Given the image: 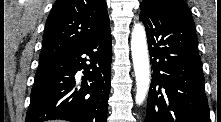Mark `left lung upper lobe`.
Returning a JSON list of instances; mask_svg holds the SVG:
<instances>
[{"label": "left lung upper lobe", "instance_id": "1", "mask_svg": "<svg viewBox=\"0 0 221 122\" xmlns=\"http://www.w3.org/2000/svg\"><path fill=\"white\" fill-rule=\"evenodd\" d=\"M160 1L168 3V6H173V5L179 4V5H181V7L189 10L188 6L184 0H160Z\"/></svg>", "mask_w": 221, "mask_h": 122}]
</instances>
